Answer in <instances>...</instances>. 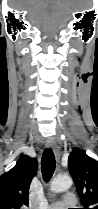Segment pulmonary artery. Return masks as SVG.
<instances>
[{
  "instance_id": "1",
  "label": "pulmonary artery",
  "mask_w": 98,
  "mask_h": 209,
  "mask_svg": "<svg viewBox=\"0 0 98 209\" xmlns=\"http://www.w3.org/2000/svg\"><path fill=\"white\" fill-rule=\"evenodd\" d=\"M77 204L76 195L73 192H68L63 196L61 201L51 203L48 209H68L74 207Z\"/></svg>"
}]
</instances>
